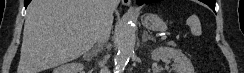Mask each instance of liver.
<instances>
[{
    "label": "liver",
    "mask_w": 244,
    "mask_h": 73,
    "mask_svg": "<svg viewBox=\"0 0 244 73\" xmlns=\"http://www.w3.org/2000/svg\"><path fill=\"white\" fill-rule=\"evenodd\" d=\"M99 15L100 0H32L17 73H40L88 52L97 41Z\"/></svg>",
    "instance_id": "6515ba94"
}]
</instances>
